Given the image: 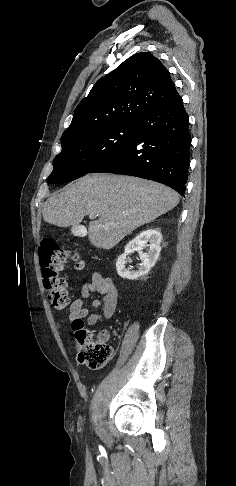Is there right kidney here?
<instances>
[{
	"mask_svg": "<svg viewBox=\"0 0 236 486\" xmlns=\"http://www.w3.org/2000/svg\"><path fill=\"white\" fill-rule=\"evenodd\" d=\"M161 241L162 235L157 229H147L137 235L125 246L124 253L117 259L116 270L119 276L129 280H135L148 274L159 257ZM146 247H149L148 252H143ZM134 251L139 253L141 264L138 271H129L125 269L126 259L127 255Z\"/></svg>",
	"mask_w": 236,
	"mask_h": 486,
	"instance_id": "1",
	"label": "right kidney"
}]
</instances>
